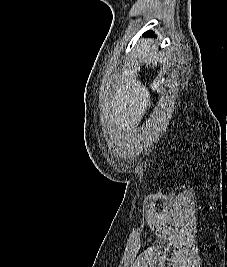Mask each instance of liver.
<instances>
[{
  "label": "liver",
  "instance_id": "obj_1",
  "mask_svg": "<svg viewBox=\"0 0 227 267\" xmlns=\"http://www.w3.org/2000/svg\"><path fill=\"white\" fill-rule=\"evenodd\" d=\"M135 60L154 66L162 62L161 57L149 46H137L132 53ZM147 106H150V94L140 81H125L116 87L110 102L111 122L123 131L129 132L139 124Z\"/></svg>",
  "mask_w": 227,
  "mask_h": 267
}]
</instances>
